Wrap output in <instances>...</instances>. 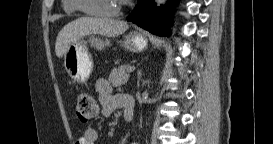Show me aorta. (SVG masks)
Segmentation results:
<instances>
[{"instance_id": "obj_1", "label": "aorta", "mask_w": 273, "mask_h": 144, "mask_svg": "<svg viewBox=\"0 0 273 144\" xmlns=\"http://www.w3.org/2000/svg\"><path fill=\"white\" fill-rule=\"evenodd\" d=\"M165 0H156V4L160 6L161 4H164Z\"/></svg>"}]
</instances>
